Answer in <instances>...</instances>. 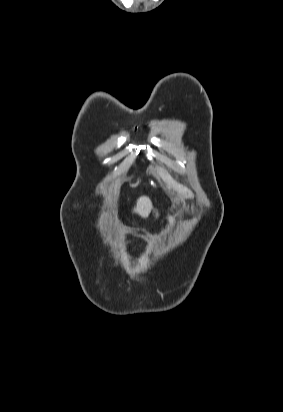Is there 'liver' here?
<instances>
[{"label":"liver","mask_w":283,"mask_h":412,"mask_svg":"<svg viewBox=\"0 0 283 412\" xmlns=\"http://www.w3.org/2000/svg\"><path fill=\"white\" fill-rule=\"evenodd\" d=\"M153 209L152 202L147 196H141L136 203L134 212L143 218H147Z\"/></svg>","instance_id":"obj_1"}]
</instances>
